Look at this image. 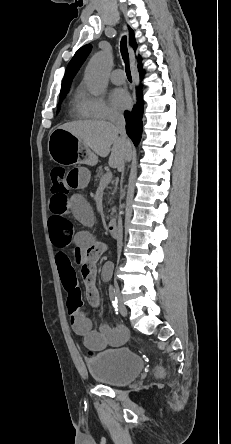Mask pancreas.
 Here are the masks:
<instances>
[{
	"mask_svg": "<svg viewBox=\"0 0 231 444\" xmlns=\"http://www.w3.org/2000/svg\"><path fill=\"white\" fill-rule=\"evenodd\" d=\"M103 175H104V170H103V168H102V167L97 168V170H96V179L101 180V178L103 177Z\"/></svg>",
	"mask_w": 231,
	"mask_h": 444,
	"instance_id": "obj_1",
	"label": "pancreas"
}]
</instances>
